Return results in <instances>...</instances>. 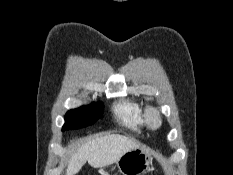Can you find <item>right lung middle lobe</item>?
<instances>
[{"instance_id": "1", "label": "right lung middle lobe", "mask_w": 233, "mask_h": 175, "mask_svg": "<svg viewBox=\"0 0 233 175\" xmlns=\"http://www.w3.org/2000/svg\"><path fill=\"white\" fill-rule=\"evenodd\" d=\"M103 114V104L94 103L82 106L78 109L69 110L65 115L64 130L83 128L94 124Z\"/></svg>"}]
</instances>
